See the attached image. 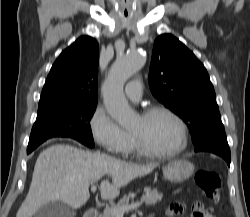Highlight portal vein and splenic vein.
Here are the masks:
<instances>
[{
  "mask_svg": "<svg viewBox=\"0 0 250 217\" xmlns=\"http://www.w3.org/2000/svg\"><path fill=\"white\" fill-rule=\"evenodd\" d=\"M97 189L96 185H92L91 187V191L92 192H95ZM142 205V202H135V203H131L129 205H126L122 208H114L112 210L113 214L116 216V217H123V214L125 211H131V210H134L138 207H140Z\"/></svg>",
  "mask_w": 250,
  "mask_h": 217,
  "instance_id": "18ae733b",
  "label": "portal vein and splenic vein"
}]
</instances>
